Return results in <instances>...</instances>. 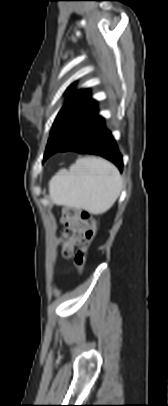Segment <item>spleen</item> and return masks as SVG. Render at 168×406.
Listing matches in <instances>:
<instances>
[{
  "instance_id": "1",
  "label": "spleen",
  "mask_w": 168,
  "mask_h": 406,
  "mask_svg": "<svg viewBox=\"0 0 168 406\" xmlns=\"http://www.w3.org/2000/svg\"><path fill=\"white\" fill-rule=\"evenodd\" d=\"M122 186L123 179L115 165L100 157H82L69 170L61 169L52 177L49 195L56 205L99 215L113 206Z\"/></svg>"
}]
</instances>
